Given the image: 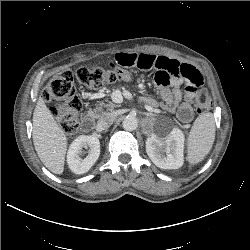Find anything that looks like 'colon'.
I'll list each match as a JSON object with an SVG mask.
<instances>
[{
	"mask_svg": "<svg viewBox=\"0 0 250 250\" xmlns=\"http://www.w3.org/2000/svg\"><path fill=\"white\" fill-rule=\"evenodd\" d=\"M74 79L90 89H98L115 84L125 79L118 70L102 67H81L75 72L64 70L57 73L46 86L43 97L52 105V113L61 128L67 133H73L78 126V114L81 110ZM197 113L201 114L211 108L212 100L205 89H199L194 98Z\"/></svg>",
	"mask_w": 250,
	"mask_h": 250,
	"instance_id": "5ec220e1",
	"label": "colon"
}]
</instances>
